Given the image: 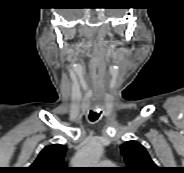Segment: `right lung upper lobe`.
<instances>
[{"mask_svg": "<svg viewBox=\"0 0 184 173\" xmlns=\"http://www.w3.org/2000/svg\"><path fill=\"white\" fill-rule=\"evenodd\" d=\"M66 147L54 144L45 147L34 163L26 169L27 173H68L69 168L65 167Z\"/></svg>", "mask_w": 184, "mask_h": 173, "instance_id": "obj_1", "label": "right lung upper lobe"}]
</instances>
